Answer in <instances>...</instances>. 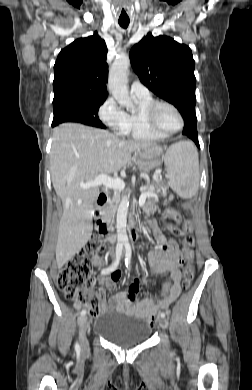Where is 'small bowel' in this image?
Wrapping results in <instances>:
<instances>
[{"mask_svg": "<svg viewBox=\"0 0 252 390\" xmlns=\"http://www.w3.org/2000/svg\"><path fill=\"white\" fill-rule=\"evenodd\" d=\"M149 230L156 238V245L148 254V261L151 266V274L161 276L169 274V282L163 290V298L158 299L153 296H146L142 299L137 298L140 281L136 280L127 291H119L105 300L102 296L101 309L104 313L118 312L128 316L141 319H148L159 310H166L174 302L181 293L180 280L181 271L179 267L183 263V256L178 249L177 243L173 239L167 240L157 227L153 220L147 221ZM93 263L98 267H103L105 262L102 258L97 257ZM105 269V268H104ZM119 275L117 273L108 277L107 274H102L98 277V285L101 290L104 288L114 290L116 288ZM77 308H81L78 304Z\"/></svg>", "mask_w": 252, "mask_h": 390, "instance_id": "obj_1", "label": "small bowel"}]
</instances>
